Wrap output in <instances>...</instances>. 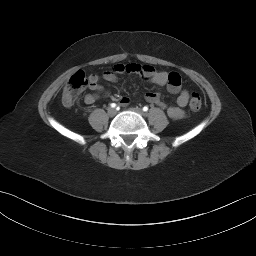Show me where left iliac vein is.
<instances>
[{"label":"left iliac vein","mask_w":256,"mask_h":256,"mask_svg":"<svg viewBox=\"0 0 256 256\" xmlns=\"http://www.w3.org/2000/svg\"><path fill=\"white\" fill-rule=\"evenodd\" d=\"M132 110H133L134 112H136V113L142 115V116L145 115V113L143 112V110H142L141 108L136 107V108H133Z\"/></svg>","instance_id":"4c4485c4"}]
</instances>
